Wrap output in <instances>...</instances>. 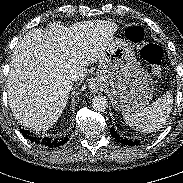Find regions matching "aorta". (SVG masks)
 <instances>
[{
  "label": "aorta",
  "instance_id": "1",
  "mask_svg": "<svg viewBox=\"0 0 183 183\" xmlns=\"http://www.w3.org/2000/svg\"><path fill=\"white\" fill-rule=\"evenodd\" d=\"M92 106L96 111H105L108 107V101L104 96H95L92 101Z\"/></svg>",
  "mask_w": 183,
  "mask_h": 183
}]
</instances>
